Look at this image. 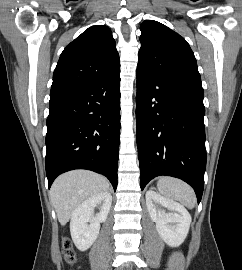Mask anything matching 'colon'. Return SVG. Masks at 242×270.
Returning a JSON list of instances; mask_svg holds the SVG:
<instances>
[{
	"label": "colon",
	"instance_id": "1",
	"mask_svg": "<svg viewBox=\"0 0 242 270\" xmlns=\"http://www.w3.org/2000/svg\"><path fill=\"white\" fill-rule=\"evenodd\" d=\"M62 246H63V250H64L65 260L68 263H74L76 260V256H75V253L72 249L71 243L68 240H64L62 243Z\"/></svg>",
	"mask_w": 242,
	"mask_h": 270
}]
</instances>
